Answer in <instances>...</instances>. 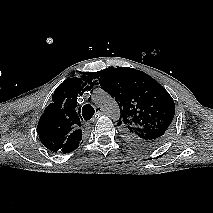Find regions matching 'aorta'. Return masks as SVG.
<instances>
[{"label":"aorta","instance_id":"1","mask_svg":"<svg viewBox=\"0 0 213 213\" xmlns=\"http://www.w3.org/2000/svg\"><path fill=\"white\" fill-rule=\"evenodd\" d=\"M94 101L101 107L109 118L113 120H117L119 118L120 109L117 102L105 91L97 90L94 93Z\"/></svg>","mask_w":213,"mask_h":213}]
</instances>
